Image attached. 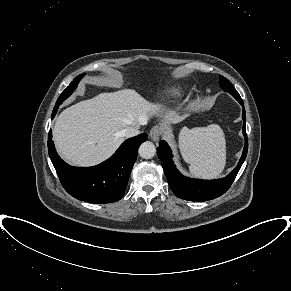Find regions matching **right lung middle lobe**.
Masks as SVG:
<instances>
[{
	"label": "right lung middle lobe",
	"instance_id": "right-lung-middle-lobe-1",
	"mask_svg": "<svg viewBox=\"0 0 291 291\" xmlns=\"http://www.w3.org/2000/svg\"><path fill=\"white\" fill-rule=\"evenodd\" d=\"M84 76V74L79 75L77 78L74 79L70 83V85L61 93L59 98L57 99V102L55 104V107L53 109L52 116H55L58 107L64 102L65 99H67L73 92V90L77 87V84L79 83V80Z\"/></svg>",
	"mask_w": 291,
	"mask_h": 291
}]
</instances>
